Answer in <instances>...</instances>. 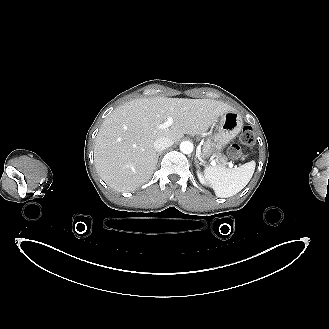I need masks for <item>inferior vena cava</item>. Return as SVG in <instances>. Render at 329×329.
<instances>
[{
    "label": "inferior vena cava",
    "mask_w": 329,
    "mask_h": 329,
    "mask_svg": "<svg viewBox=\"0 0 329 329\" xmlns=\"http://www.w3.org/2000/svg\"><path fill=\"white\" fill-rule=\"evenodd\" d=\"M173 145V140L169 137H160L158 139L155 140L154 142V149L157 152H161L164 149L170 147Z\"/></svg>",
    "instance_id": "inferior-vena-cava-1"
}]
</instances>
